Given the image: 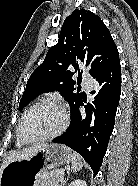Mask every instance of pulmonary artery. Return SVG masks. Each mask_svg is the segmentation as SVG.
<instances>
[{
  "label": "pulmonary artery",
  "instance_id": "obj_1",
  "mask_svg": "<svg viewBox=\"0 0 138 186\" xmlns=\"http://www.w3.org/2000/svg\"><path fill=\"white\" fill-rule=\"evenodd\" d=\"M82 82L86 89H91L93 79L87 72L82 73Z\"/></svg>",
  "mask_w": 138,
  "mask_h": 186
}]
</instances>
